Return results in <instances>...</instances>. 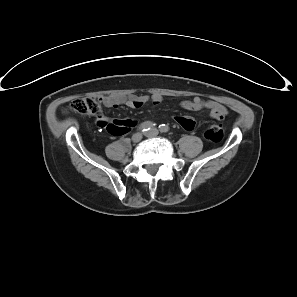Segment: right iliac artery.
I'll use <instances>...</instances> for the list:
<instances>
[{
  "mask_svg": "<svg viewBox=\"0 0 297 297\" xmlns=\"http://www.w3.org/2000/svg\"><path fill=\"white\" fill-rule=\"evenodd\" d=\"M154 126H155V124L153 122H151V121H145V122H143V123L140 124L139 129L144 132V131L150 130Z\"/></svg>",
  "mask_w": 297,
  "mask_h": 297,
  "instance_id": "82829eb1",
  "label": "right iliac artery"
}]
</instances>
